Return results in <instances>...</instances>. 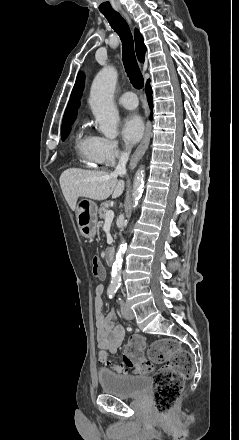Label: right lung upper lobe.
Segmentation results:
<instances>
[{
	"mask_svg": "<svg viewBox=\"0 0 239 440\" xmlns=\"http://www.w3.org/2000/svg\"><path fill=\"white\" fill-rule=\"evenodd\" d=\"M134 36H135V47H136L137 57L140 62H144V55L146 52L144 39L138 29H135ZM83 86H84V74L80 72L77 76L74 88L70 96V100L68 102L67 108L64 113L62 127L71 122H74V120L76 119L78 107L80 105L79 100L81 98L83 91Z\"/></svg>",
	"mask_w": 239,
	"mask_h": 440,
	"instance_id": "cb5924a9",
	"label": "right lung upper lobe"
}]
</instances>
